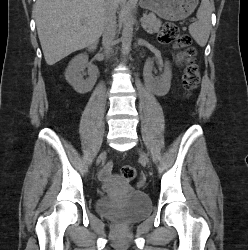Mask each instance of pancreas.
Instances as JSON below:
<instances>
[{
    "instance_id": "obj_1",
    "label": "pancreas",
    "mask_w": 248,
    "mask_h": 250,
    "mask_svg": "<svg viewBox=\"0 0 248 250\" xmlns=\"http://www.w3.org/2000/svg\"><path fill=\"white\" fill-rule=\"evenodd\" d=\"M145 22L142 23V27L149 34H153L159 31L162 22L154 14H144Z\"/></svg>"
}]
</instances>
